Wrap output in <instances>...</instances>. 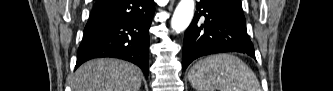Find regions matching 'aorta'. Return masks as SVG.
I'll return each mask as SVG.
<instances>
[{
	"label": "aorta",
	"instance_id": "aorta-1",
	"mask_svg": "<svg viewBox=\"0 0 333 91\" xmlns=\"http://www.w3.org/2000/svg\"><path fill=\"white\" fill-rule=\"evenodd\" d=\"M194 15V0H180L171 19V28L180 33L184 31L192 21Z\"/></svg>",
	"mask_w": 333,
	"mask_h": 91
}]
</instances>
